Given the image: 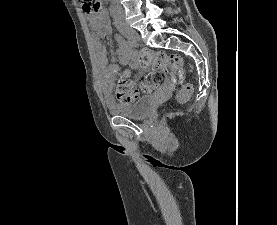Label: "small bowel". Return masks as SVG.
Returning a JSON list of instances; mask_svg holds the SVG:
<instances>
[{"label":"small bowel","instance_id":"small-bowel-1","mask_svg":"<svg viewBox=\"0 0 277 225\" xmlns=\"http://www.w3.org/2000/svg\"><path fill=\"white\" fill-rule=\"evenodd\" d=\"M89 21L95 33L92 40L94 55L98 67L102 70L101 86L105 88L111 83L113 76L117 73L118 65L115 57L110 60L107 58L106 49L101 44L99 37L109 34L112 27L108 13L104 8H101L95 14H91ZM115 39L118 44L117 59L122 63L128 62L132 68L138 69L139 66L133 62L132 54L125 41L118 35L115 36ZM140 76L141 72H139L136 77L139 78Z\"/></svg>","mask_w":277,"mask_h":225}]
</instances>
